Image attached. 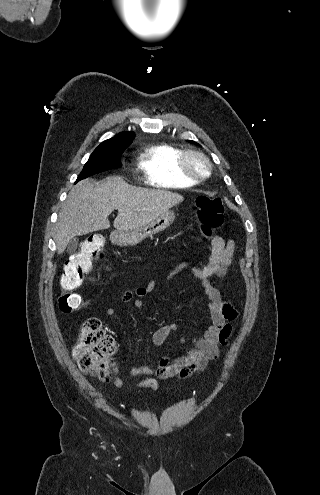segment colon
Returning a JSON list of instances; mask_svg holds the SVG:
<instances>
[{
    "label": "colon",
    "instance_id": "colon-1",
    "mask_svg": "<svg viewBox=\"0 0 320 495\" xmlns=\"http://www.w3.org/2000/svg\"><path fill=\"white\" fill-rule=\"evenodd\" d=\"M196 214L203 224V233L211 231L223 223L224 206L220 198L199 196L196 198ZM105 238L93 233L81 244L80 250L72 254L64 265L60 278L62 293L58 304L63 312H73L84 306V300L75 290L81 286L94 261L103 255ZM117 350L115 338L108 334L99 319L90 317L81 327L80 338L73 349V356L79 368L96 374L103 382L111 379L110 363Z\"/></svg>",
    "mask_w": 320,
    "mask_h": 495
}]
</instances>
